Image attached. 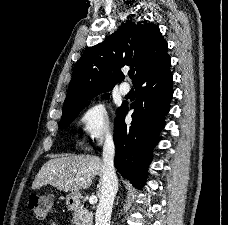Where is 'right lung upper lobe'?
Here are the masks:
<instances>
[{
	"instance_id": "right-lung-upper-lobe-1",
	"label": "right lung upper lobe",
	"mask_w": 228,
	"mask_h": 225,
	"mask_svg": "<svg viewBox=\"0 0 228 225\" xmlns=\"http://www.w3.org/2000/svg\"><path fill=\"white\" fill-rule=\"evenodd\" d=\"M168 46L158 26L126 21L102 43L86 50L75 65L64 106L110 91L124 78L121 68L135 66L138 78L167 55Z\"/></svg>"
}]
</instances>
